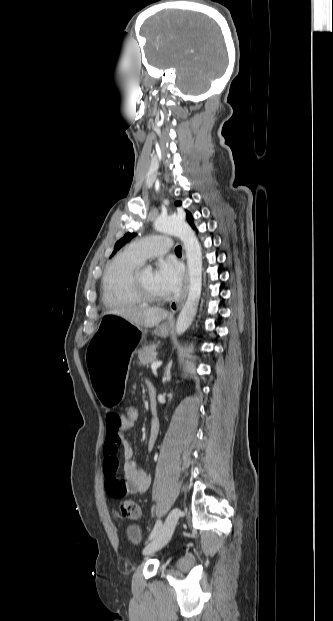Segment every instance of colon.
Segmentation results:
<instances>
[{
	"label": "colon",
	"mask_w": 333,
	"mask_h": 621,
	"mask_svg": "<svg viewBox=\"0 0 333 621\" xmlns=\"http://www.w3.org/2000/svg\"><path fill=\"white\" fill-rule=\"evenodd\" d=\"M123 416L125 420L130 424H135L139 419V409L132 403H128L124 406ZM120 511L124 518L130 520H136L140 517L139 506L131 500H123L120 503Z\"/></svg>",
	"instance_id": "colon-1"
}]
</instances>
